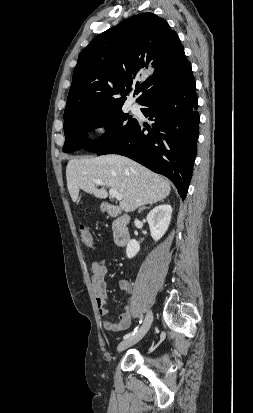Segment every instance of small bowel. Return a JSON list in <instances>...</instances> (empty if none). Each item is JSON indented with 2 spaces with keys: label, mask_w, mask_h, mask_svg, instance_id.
<instances>
[{
  "label": "small bowel",
  "mask_w": 253,
  "mask_h": 413,
  "mask_svg": "<svg viewBox=\"0 0 253 413\" xmlns=\"http://www.w3.org/2000/svg\"><path fill=\"white\" fill-rule=\"evenodd\" d=\"M91 286L95 295V301L98 309V313L102 317L109 315L107 309V282L106 277L108 275V268L105 259H99L91 264ZM119 286L126 294H130L132 287L129 281L121 280ZM132 323L131 307L127 302L123 306V312L116 322L104 319L103 327L112 332H122L130 327Z\"/></svg>",
  "instance_id": "1"
}]
</instances>
